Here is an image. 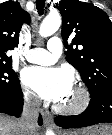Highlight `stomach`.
<instances>
[{
	"label": "stomach",
	"instance_id": "1",
	"mask_svg": "<svg viewBox=\"0 0 112 135\" xmlns=\"http://www.w3.org/2000/svg\"><path fill=\"white\" fill-rule=\"evenodd\" d=\"M62 135H112V126L99 125L85 129L83 132H64Z\"/></svg>",
	"mask_w": 112,
	"mask_h": 135
}]
</instances>
